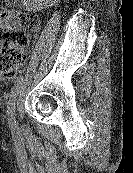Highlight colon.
<instances>
[{"label":"colon","mask_w":133,"mask_h":173,"mask_svg":"<svg viewBox=\"0 0 133 173\" xmlns=\"http://www.w3.org/2000/svg\"><path fill=\"white\" fill-rule=\"evenodd\" d=\"M16 0H0V80L15 76L24 63L29 48L28 31L37 18L10 9Z\"/></svg>","instance_id":"obj_1"}]
</instances>
